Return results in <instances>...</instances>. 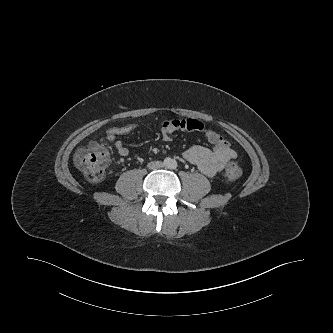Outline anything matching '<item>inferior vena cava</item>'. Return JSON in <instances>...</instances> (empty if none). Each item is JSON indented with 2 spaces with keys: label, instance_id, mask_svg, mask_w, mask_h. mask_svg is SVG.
<instances>
[{
  "label": "inferior vena cava",
  "instance_id": "obj_1",
  "mask_svg": "<svg viewBox=\"0 0 333 333\" xmlns=\"http://www.w3.org/2000/svg\"><path fill=\"white\" fill-rule=\"evenodd\" d=\"M147 167L151 170H156V169L162 168L163 163L160 161H152V162L148 163Z\"/></svg>",
  "mask_w": 333,
  "mask_h": 333
}]
</instances>
